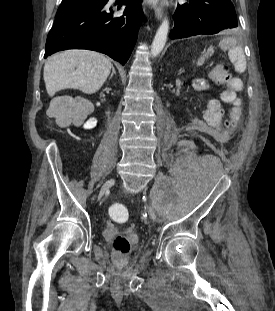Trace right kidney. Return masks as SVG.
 Segmentation results:
<instances>
[{
  "label": "right kidney",
  "mask_w": 275,
  "mask_h": 311,
  "mask_svg": "<svg viewBox=\"0 0 275 311\" xmlns=\"http://www.w3.org/2000/svg\"><path fill=\"white\" fill-rule=\"evenodd\" d=\"M104 97H108L110 95V92L108 90H104L102 93H101ZM100 102L102 101L101 99L99 100Z\"/></svg>",
  "instance_id": "1"
}]
</instances>
